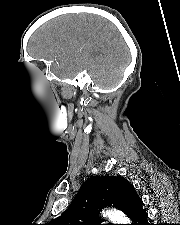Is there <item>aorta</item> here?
I'll return each mask as SVG.
<instances>
[{"instance_id":"1","label":"aorta","mask_w":180,"mask_h":225,"mask_svg":"<svg viewBox=\"0 0 180 225\" xmlns=\"http://www.w3.org/2000/svg\"><path fill=\"white\" fill-rule=\"evenodd\" d=\"M103 216L109 218L113 224H128L129 219L118 210H107L103 211Z\"/></svg>"}]
</instances>
